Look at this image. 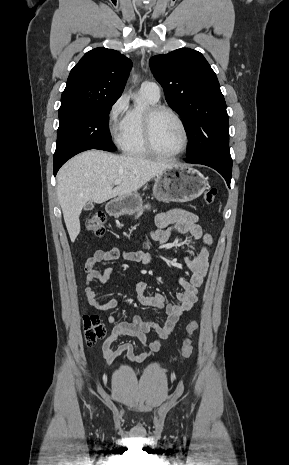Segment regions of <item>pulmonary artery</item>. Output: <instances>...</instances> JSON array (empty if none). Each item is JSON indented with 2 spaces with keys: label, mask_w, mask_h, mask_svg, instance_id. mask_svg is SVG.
Wrapping results in <instances>:
<instances>
[{
  "label": "pulmonary artery",
  "mask_w": 289,
  "mask_h": 465,
  "mask_svg": "<svg viewBox=\"0 0 289 465\" xmlns=\"http://www.w3.org/2000/svg\"><path fill=\"white\" fill-rule=\"evenodd\" d=\"M141 91L145 92L154 100H158L160 97L159 86L155 82L146 81L141 85Z\"/></svg>",
  "instance_id": "e3ab8cb5"
}]
</instances>
